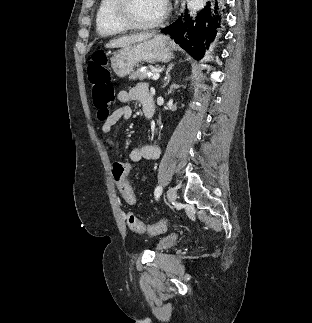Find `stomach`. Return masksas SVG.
Wrapping results in <instances>:
<instances>
[{"label":"stomach","instance_id":"obj_1","mask_svg":"<svg viewBox=\"0 0 312 323\" xmlns=\"http://www.w3.org/2000/svg\"><path fill=\"white\" fill-rule=\"evenodd\" d=\"M172 58L169 36H154L152 40L134 42L120 48L111 58V68L118 78H125L140 62H170Z\"/></svg>","mask_w":312,"mask_h":323}]
</instances>
